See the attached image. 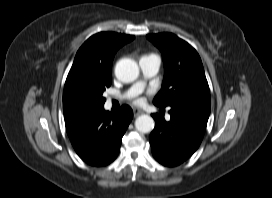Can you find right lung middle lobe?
<instances>
[{
	"mask_svg": "<svg viewBox=\"0 0 272 198\" xmlns=\"http://www.w3.org/2000/svg\"><path fill=\"white\" fill-rule=\"evenodd\" d=\"M110 85H111V79H109L107 81H104L103 83L98 84L97 86H95V88L93 90L94 109L104 106V103H105L106 99L103 97V92Z\"/></svg>",
	"mask_w": 272,
	"mask_h": 198,
	"instance_id": "obj_1",
	"label": "right lung middle lobe"
}]
</instances>
